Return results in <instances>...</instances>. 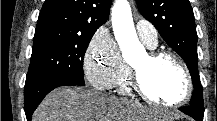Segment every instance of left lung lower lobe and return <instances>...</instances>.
I'll use <instances>...</instances> for the list:
<instances>
[{
  "instance_id": "left-lung-lower-lobe-1",
  "label": "left lung lower lobe",
  "mask_w": 217,
  "mask_h": 121,
  "mask_svg": "<svg viewBox=\"0 0 217 121\" xmlns=\"http://www.w3.org/2000/svg\"><path fill=\"white\" fill-rule=\"evenodd\" d=\"M180 111H182L183 113L191 116L192 118H194L196 121H202V120H198L197 117L195 116L194 112L192 111V109L190 108V106H186V107H181L179 108Z\"/></svg>"
}]
</instances>
